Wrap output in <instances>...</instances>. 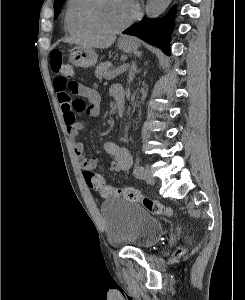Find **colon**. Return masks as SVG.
I'll return each mask as SVG.
<instances>
[{
	"label": "colon",
	"instance_id": "1",
	"mask_svg": "<svg viewBox=\"0 0 245 300\" xmlns=\"http://www.w3.org/2000/svg\"><path fill=\"white\" fill-rule=\"evenodd\" d=\"M51 69L61 78L69 82L70 87H74V82L68 78L72 75V68L64 62L62 52L54 50L50 54ZM76 110H83L85 102L76 99L73 102ZM87 184L90 188L98 191L104 197H119L131 202L141 203L148 211L157 215L171 216L173 211L157 200L145 196L140 190L132 187L116 188L106 184L104 178L96 173L87 176Z\"/></svg>",
	"mask_w": 245,
	"mask_h": 300
}]
</instances>
